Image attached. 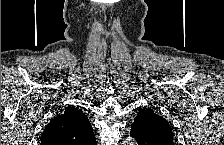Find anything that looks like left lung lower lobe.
Instances as JSON below:
<instances>
[{"label":"left lung lower lobe","instance_id":"0a47b994","mask_svg":"<svg viewBox=\"0 0 224 145\" xmlns=\"http://www.w3.org/2000/svg\"><path fill=\"white\" fill-rule=\"evenodd\" d=\"M130 136H132L139 145H167L150 131L147 121L141 114L137 115L132 123Z\"/></svg>","mask_w":224,"mask_h":145}]
</instances>
